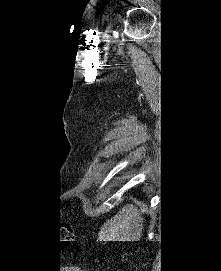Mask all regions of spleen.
<instances>
[{
  "instance_id": "obj_1",
  "label": "spleen",
  "mask_w": 221,
  "mask_h": 271,
  "mask_svg": "<svg viewBox=\"0 0 221 271\" xmlns=\"http://www.w3.org/2000/svg\"><path fill=\"white\" fill-rule=\"evenodd\" d=\"M144 217L133 203H126L111 219H106L101 227L103 241H139L143 231Z\"/></svg>"
}]
</instances>
